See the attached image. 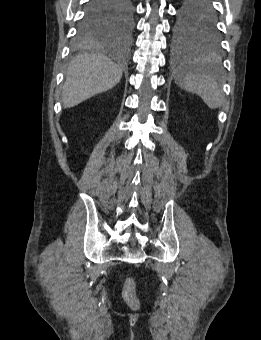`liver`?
I'll list each match as a JSON object with an SVG mask.
<instances>
[{"instance_id":"6515ba94","label":"liver","mask_w":261,"mask_h":340,"mask_svg":"<svg viewBox=\"0 0 261 340\" xmlns=\"http://www.w3.org/2000/svg\"><path fill=\"white\" fill-rule=\"evenodd\" d=\"M122 77V69L101 54L77 56L69 65L62 92L64 108L79 103L114 87Z\"/></svg>"}]
</instances>
